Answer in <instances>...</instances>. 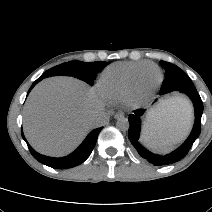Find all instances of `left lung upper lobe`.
Segmentation results:
<instances>
[{"mask_svg": "<svg viewBox=\"0 0 212 212\" xmlns=\"http://www.w3.org/2000/svg\"><path fill=\"white\" fill-rule=\"evenodd\" d=\"M166 71V78L162 83L160 94L179 90H195L191 79L176 65L160 61Z\"/></svg>", "mask_w": 212, "mask_h": 212, "instance_id": "5c2ea615", "label": "left lung upper lobe"}]
</instances>
